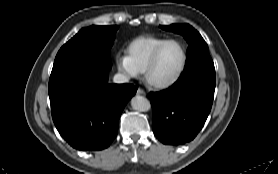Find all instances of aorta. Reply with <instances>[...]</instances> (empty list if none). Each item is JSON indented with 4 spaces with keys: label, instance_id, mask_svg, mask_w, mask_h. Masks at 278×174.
Segmentation results:
<instances>
[{
    "label": "aorta",
    "instance_id": "1",
    "mask_svg": "<svg viewBox=\"0 0 278 174\" xmlns=\"http://www.w3.org/2000/svg\"><path fill=\"white\" fill-rule=\"evenodd\" d=\"M131 106L134 110L140 112H146L151 108L149 100L140 95H136L131 99Z\"/></svg>",
    "mask_w": 278,
    "mask_h": 174
}]
</instances>
